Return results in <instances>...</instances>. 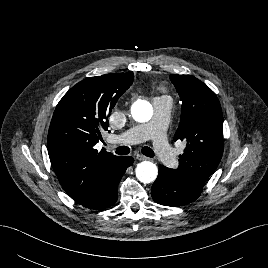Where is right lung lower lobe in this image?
I'll list each match as a JSON object with an SVG mask.
<instances>
[{
  "label": "right lung lower lobe",
  "instance_id": "1",
  "mask_svg": "<svg viewBox=\"0 0 268 268\" xmlns=\"http://www.w3.org/2000/svg\"><path fill=\"white\" fill-rule=\"evenodd\" d=\"M134 159L131 156L119 157L100 179L93 194L84 202L82 206L100 210L112 206L118 198V184L126 169L132 165Z\"/></svg>",
  "mask_w": 268,
  "mask_h": 268
}]
</instances>
